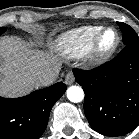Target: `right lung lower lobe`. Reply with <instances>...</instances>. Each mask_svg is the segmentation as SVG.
Instances as JSON below:
<instances>
[{
    "mask_svg": "<svg viewBox=\"0 0 139 139\" xmlns=\"http://www.w3.org/2000/svg\"><path fill=\"white\" fill-rule=\"evenodd\" d=\"M66 88L58 82L24 97H0V139H38L46 129L53 105Z\"/></svg>",
    "mask_w": 139,
    "mask_h": 139,
    "instance_id": "1",
    "label": "right lung lower lobe"
}]
</instances>
